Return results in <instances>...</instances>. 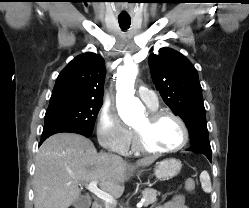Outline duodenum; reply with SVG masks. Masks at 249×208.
I'll use <instances>...</instances> for the list:
<instances>
[{
  "mask_svg": "<svg viewBox=\"0 0 249 208\" xmlns=\"http://www.w3.org/2000/svg\"><path fill=\"white\" fill-rule=\"evenodd\" d=\"M90 208H100V204L97 200L93 201Z\"/></svg>",
  "mask_w": 249,
  "mask_h": 208,
  "instance_id": "obj_1",
  "label": "duodenum"
}]
</instances>
